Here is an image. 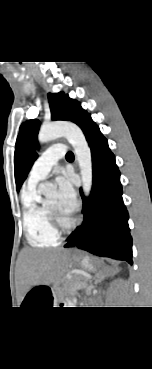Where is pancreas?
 <instances>
[{
  "label": "pancreas",
  "mask_w": 152,
  "mask_h": 369,
  "mask_svg": "<svg viewBox=\"0 0 152 369\" xmlns=\"http://www.w3.org/2000/svg\"><path fill=\"white\" fill-rule=\"evenodd\" d=\"M84 279H78L76 280L73 284L72 287L70 289V292L74 293L76 292V290L78 289H82L86 287V283L83 281Z\"/></svg>",
  "instance_id": "cf45deb5"
}]
</instances>
